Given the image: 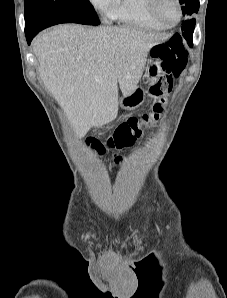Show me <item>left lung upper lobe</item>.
Wrapping results in <instances>:
<instances>
[{
  "mask_svg": "<svg viewBox=\"0 0 227 298\" xmlns=\"http://www.w3.org/2000/svg\"><path fill=\"white\" fill-rule=\"evenodd\" d=\"M179 2L182 5L183 15L190 17L182 23L183 36L188 42H192V36L196 23L193 15L198 12L199 0H179Z\"/></svg>",
  "mask_w": 227,
  "mask_h": 298,
  "instance_id": "left-lung-upper-lobe-1",
  "label": "left lung upper lobe"
}]
</instances>
